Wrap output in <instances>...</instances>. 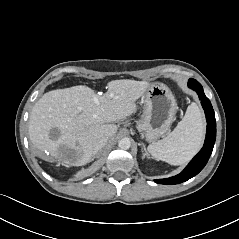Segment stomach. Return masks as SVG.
<instances>
[{"mask_svg": "<svg viewBox=\"0 0 239 239\" xmlns=\"http://www.w3.org/2000/svg\"><path fill=\"white\" fill-rule=\"evenodd\" d=\"M143 115L137 122L141 137L153 142L168 132L174 121L177 104L171 90L163 83H154L144 93Z\"/></svg>", "mask_w": 239, "mask_h": 239, "instance_id": "stomach-1", "label": "stomach"}]
</instances>
